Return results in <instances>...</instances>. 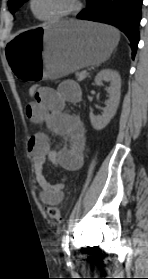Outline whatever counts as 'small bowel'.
<instances>
[{"instance_id":"obj_1","label":"small bowel","mask_w":148,"mask_h":279,"mask_svg":"<svg viewBox=\"0 0 148 279\" xmlns=\"http://www.w3.org/2000/svg\"><path fill=\"white\" fill-rule=\"evenodd\" d=\"M80 96L79 86L74 81H65L57 89L41 87L39 96L26 106V114L31 122L45 124L53 133L69 141L62 149L53 150L45 133H36L29 140L28 149L33 159L40 197L48 204L62 200L66 179L49 182L43 173L46 161L67 171L78 170L83 163L84 127L79 118L66 110L67 104L77 102Z\"/></svg>"}]
</instances>
